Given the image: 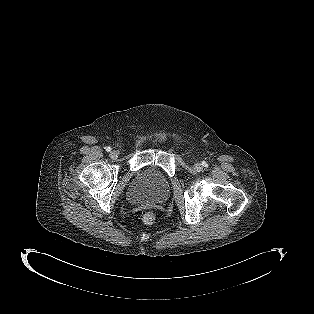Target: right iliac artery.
<instances>
[{
    "mask_svg": "<svg viewBox=\"0 0 314 314\" xmlns=\"http://www.w3.org/2000/svg\"><path fill=\"white\" fill-rule=\"evenodd\" d=\"M105 150H106L107 152H110V151H111V148L108 146V147H105Z\"/></svg>",
    "mask_w": 314,
    "mask_h": 314,
    "instance_id": "right-iliac-artery-1",
    "label": "right iliac artery"
}]
</instances>
